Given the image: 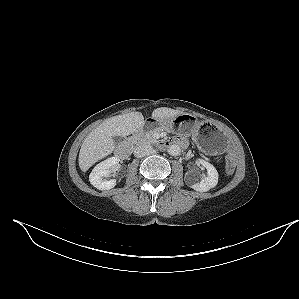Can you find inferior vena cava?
Masks as SVG:
<instances>
[{
	"label": "inferior vena cava",
	"instance_id": "inferior-vena-cava-1",
	"mask_svg": "<svg viewBox=\"0 0 299 299\" xmlns=\"http://www.w3.org/2000/svg\"><path fill=\"white\" fill-rule=\"evenodd\" d=\"M153 151L154 150L150 145H145V144L139 145L134 150V156L137 158H141L144 157L145 155L152 153Z\"/></svg>",
	"mask_w": 299,
	"mask_h": 299
}]
</instances>
